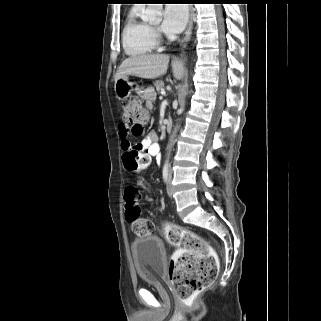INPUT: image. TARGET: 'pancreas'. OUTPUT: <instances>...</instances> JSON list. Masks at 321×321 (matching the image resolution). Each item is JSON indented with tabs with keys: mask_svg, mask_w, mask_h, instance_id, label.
I'll return each mask as SVG.
<instances>
[{
	"mask_svg": "<svg viewBox=\"0 0 321 321\" xmlns=\"http://www.w3.org/2000/svg\"><path fill=\"white\" fill-rule=\"evenodd\" d=\"M154 86L158 92L164 88V82L161 80L155 81Z\"/></svg>",
	"mask_w": 321,
	"mask_h": 321,
	"instance_id": "1",
	"label": "pancreas"
}]
</instances>
